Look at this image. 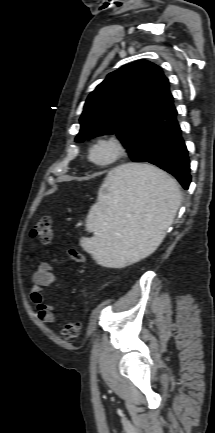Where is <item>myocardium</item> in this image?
I'll return each mask as SVG.
<instances>
[{
	"label": "myocardium",
	"mask_w": 215,
	"mask_h": 433,
	"mask_svg": "<svg viewBox=\"0 0 215 433\" xmlns=\"http://www.w3.org/2000/svg\"><path fill=\"white\" fill-rule=\"evenodd\" d=\"M101 146H107L111 149L110 156L105 160H98L94 158V152ZM126 154V146L124 142L116 135H104L98 137L89 146L87 158L90 163L97 167H108L116 164Z\"/></svg>",
	"instance_id": "obj_1"
}]
</instances>
